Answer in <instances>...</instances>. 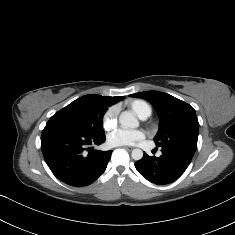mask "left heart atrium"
<instances>
[{
  "label": "left heart atrium",
  "instance_id": "39dd6f15",
  "mask_svg": "<svg viewBox=\"0 0 235 235\" xmlns=\"http://www.w3.org/2000/svg\"><path fill=\"white\" fill-rule=\"evenodd\" d=\"M145 138L143 130L129 131L125 129H117L109 133L107 136V143L110 146H129L133 145Z\"/></svg>",
  "mask_w": 235,
  "mask_h": 235
}]
</instances>
